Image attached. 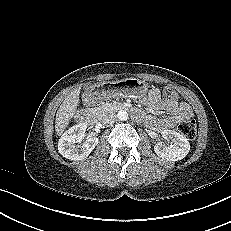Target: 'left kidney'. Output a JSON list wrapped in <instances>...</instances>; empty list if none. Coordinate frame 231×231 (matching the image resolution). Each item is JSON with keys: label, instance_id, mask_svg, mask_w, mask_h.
I'll return each mask as SVG.
<instances>
[{"label": "left kidney", "instance_id": "left-kidney-1", "mask_svg": "<svg viewBox=\"0 0 231 231\" xmlns=\"http://www.w3.org/2000/svg\"><path fill=\"white\" fill-rule=\"evenodd\" d=\"M161 135L169 143L159 142L154 146V151L159 157L168 161H178L186 157L190 150L186 137L174 130H164Z\"/></svg>", "mask_w": 231, "mask_h": 231}]
</instances>
